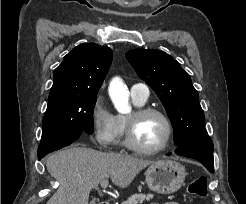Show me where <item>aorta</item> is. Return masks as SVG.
Here are the masks:
<instances>
[{"mask_svg": "<svg viewBox=\"0 0 246 204\" xmlns=\"http://www.w3.org/2000/svg\"><path fill=\"white\" fill-rule=\"evenodd\" d=\"M109 95L119 113L129 114L132 110L129 104V91L119 78L112 80L109 87Z\"/></svg>", "mask_w": 246, "mask_h": 204, "instance_id": "obj_1", "label": "aorta"}]
</instances>
